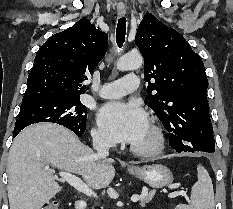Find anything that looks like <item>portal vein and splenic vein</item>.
Segmentation results:
<instances>
[{
    "label": "portal vein and splenic vein",
    "mask_w": 233,
    "mask_h": 209,
    "mask_svg": "<svg viewBox=\"0 0 233 209\" xmlns=\"http://www.w3.org/2000/svg\"><path fill=\"white\" fill-rule=\"evenodd\" d=\"M59 175H60L62 180L67 181L77 191H79L87 196H90V197L97 196V194L91 188H89V186L87 184H85L79 177H77L71 173L64 172V171L60 172ZM179 194H180L179 192H175V193L169 194V197H175ZM184 195L186 196V194H184ZM140 198H141L140 196H132L131 201L137 202Z\"/></svg>",
    "instance_id": "18ae733b"
}]
</instances>
